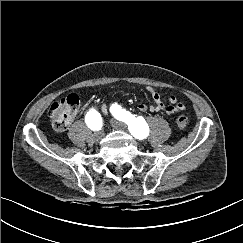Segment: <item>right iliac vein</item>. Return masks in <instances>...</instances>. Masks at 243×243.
Returning <instances> with one entry per match:
<instances>
[{"mask_svg": "<svg viewBox=\"0 0 243 243\" xmlns=\"http://www.w3.org/2000/svg\"><path fill=\"white\" fill-rule=\"evenodd\" d=\"M103 137H104V131L103 130H99V131H96L94 133V140L96 142H99L100 140H102Z\"/></svg>", "mask_w": 243, "mask_h": 243, "instance_id": "right-iliac-vein-1", "label": "right iliac vein"}]
</instances>
